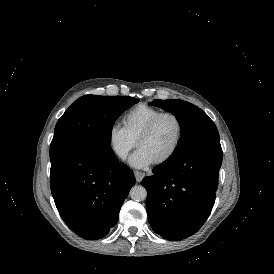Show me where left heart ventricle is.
<instances>
[{
    "label": "left heart ventricle",
    "instance_id": "b2bd125f",
    "mask_svg": "<svg viewBox=\"0 0 274 274\" xmlns=\"http://www.w3.org/2000/svg\"><path fill=\"white\" fill-rule=\"evenodd\" d=\"M177 130L176 121L172 117H164L151 134L139 141L137 147L142 148L153 163L169 153L174 144Z\"/></svg>",
    "mask_w": 274,
    "mask_h": 274
}]
</instances>
